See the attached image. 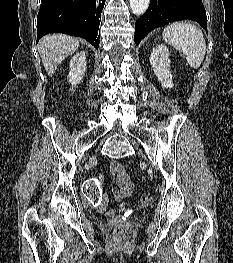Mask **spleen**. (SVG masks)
<instances>
[{"label": "spleen", "instance_id": "1", "mask_svg": "<svg viewBox=\"0 0 233 263\" xmlns=\"http://www.w3.org/2000/svg\"><path fill=\"white\" fill-rule=\"evenodd\" d=\"M164 41L181 51L191 68L201 66L206 54V42L202 31L192 23L176 22L163 30Z\"/></svg>", "mask_w": 233, "mask_h": 263}]
</instances>
